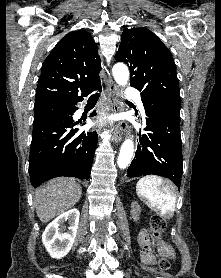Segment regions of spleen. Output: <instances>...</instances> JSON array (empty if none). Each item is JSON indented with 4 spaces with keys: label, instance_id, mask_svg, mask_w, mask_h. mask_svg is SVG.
I'll list each match as a JSON object with an SVG mask.
<instances>
[{
    "label": "spleen",
    "instance_id": "spleen-1",
    "mask_svg": "<svg viewBox=\"0 0 221 278\" xmlns=\"http://www.w3.org/2000/svg\"><path fill=\"white\" fill-rule=\"evenodd\" d=\"M136 193L151 209L170 219L174 215L176 196L173 185L158 176L142 177L136 185Z\"/></svg>",
    "mask_w": 221,
    "mask_h": 278
}]
</instances>
